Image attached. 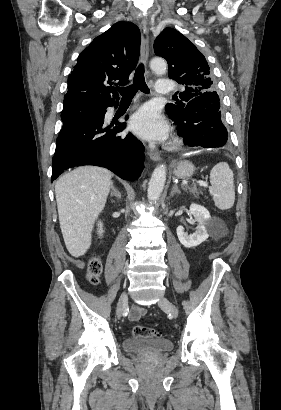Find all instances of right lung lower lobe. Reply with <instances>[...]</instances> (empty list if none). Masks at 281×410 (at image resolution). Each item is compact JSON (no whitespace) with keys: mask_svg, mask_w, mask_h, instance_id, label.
I'll use <instances>...</instances> for the list:
<instances>
[{"mask_svg":"<svg viewBox=\"0 0 281 410\" xmlns=\"http://www.w3.org/2000/svg\"><path fill=\"white\" fill-rule=\"evenodd\" d=\"M117 104V101L106 104L96 116L61 129L53 157L51 181L65 169L81 165L108 168L125 180L139 178L144 162L143 144L131 133L118 135L126 123H119L110 130L112 125L106 126L104 122L106 108Z\"/></svg>","mask_w":281,"mask_h":410,"instance_id":"98d812e1","label":"right lung lower lobe"}]
</instances>
